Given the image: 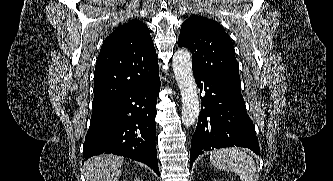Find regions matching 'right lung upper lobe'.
Here are the masks:
<instances>
[{"mask_svg": "<svg viewBox=\"0 0 333 181\" xmlns=\"http://www.w3.org/2000/svg\"><path fill=\"white\" fill-rule=\"evenodd\" d=\"M158 60L148 27L132 20L103 42L94 72L93 108L159 78Z\"/></svg>", "mask_w": 333, "mask_h": 181, "instance_id": "1", "label": "right lung upper lobe"}]
</instances>
